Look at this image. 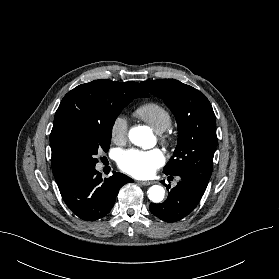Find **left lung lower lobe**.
<instances>
[{"label":"left lung lower lobe","instance_id":"1","mask_svg":"<svg viewBox=\"0 0 279 279\" xmlns=\"http://www.w3.org/2000/svg\"><path fill=\"white\" fill-rule=\"evenodd\" d=\"M179 177L181 180L170 190L163 204L151 203L149 206L151 213L165 222H176L189 215L199 203L208 185L191 175Z\"/></svg>","mask_w":279,"mask_h":279}]
</instances>
